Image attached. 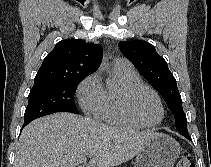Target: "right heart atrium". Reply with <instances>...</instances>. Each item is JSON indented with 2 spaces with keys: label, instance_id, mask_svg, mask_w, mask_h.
<instances>
[{
  "label": "right heart atrium",
  "instance_id": "1",
  "mask_svg": "<svg viewBox=\"0 0 211 167\" xmlns=\"http://www.w3.org/2000/svg\"><path fill=\"white\" fill-rule=\"evenodd\" d=\"M77 97L84 112L94 116L99 113L103 104L104 88L97 72L81 81L77 89Z\"/></svg>",
  "mask_w": 211,
  "mask_h": 167
}]
</instances>
